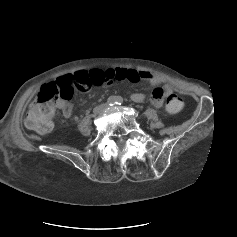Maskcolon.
Instances as JSON below:
<instances>
[{
  "label": "colon",
  "mask_w": 237,
  "mask_h": 237,
  "mask_svg": "<svg viewBox=\"0 0 237 237\" xmlns=\"http://www.w3.org/2000/svg\"><path fill=\"white\" fill-rule=\"evenodd\" d=\"M104 81V75L98 70L80 71L42 86L30 104L25 119L26 126L39 134L50 132L56 107L60 102L71 99L74 88L87 91L92 86L102 85ZM182 106L183 101L178 95L171 94L167 98L166 110L168 113L175 114L181 110Z\"/></svg>",
  "instance_id": "5ec220e1"
}]
</instances>
